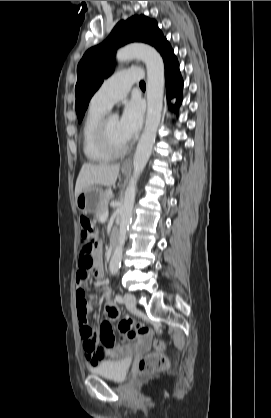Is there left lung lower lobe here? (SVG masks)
I'll list each match as a JSON object with an SVG mask.
<instances>
[{"label":"left lung lower lobe","mask_w":271,"mask_h":418,"mask_svg":"<svg viewBox=\"0 0 271 418\" xmlns=\"http://www.w3.org/2000/svg\"><path fill=\"white\" fill-rule=\"evenodd\" d=\"M165 65V81L167 90V99L177 97L175 110L178 109L182 101L183 80L179 71V64L173 49L167 40L164 41L160 50Z\"/></svg>","instance_id":"left-lung-lower-lobe-1"}]
</instances>
